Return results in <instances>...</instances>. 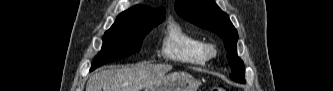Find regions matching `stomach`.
Wrapping results in <instances>:
<instances>
[{
	"mask_svg": "<svg viewBox=\"0 0 333 91\" xmlns=\"http://www.w3.org/2000/svg\"><path fill=\"white\" fill-rule=\"evenodd\" d=\"M199 82L186 72H172L164 75L144 91H197Z\"/></svg>",
	"mask_w": 333,
	"mask_h": 91,
	"instance_id": "0dacf381",
	"label": "stomach"
}]
</instances>
